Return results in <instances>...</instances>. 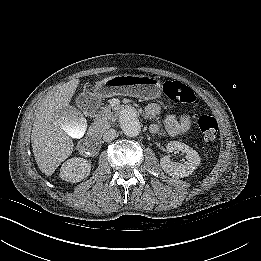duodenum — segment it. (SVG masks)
Here are the masks:
<instances>
[{"label":"duodenum","instance_id":"duodenum-1","mask_svg":"<svg viewBox=\"0 0 261 261\" xmlns=\"http://www.w3.org/2000/svg\"><path fill=\"white\" fill-rule=\"evenodd\" d=\"M106 110V114L110 119H114L116 117V113L115 111L108 107ZM129 111H134L132 108H129ZM101 147V142H100V136H99V130H98V126L94 127L86 140L82 141L79 145H78V151L79 153H81L82 155L85 156H90L94 153H96Z\"/></svg>","mask_w":261,"mask_h":261}]
</instances>
